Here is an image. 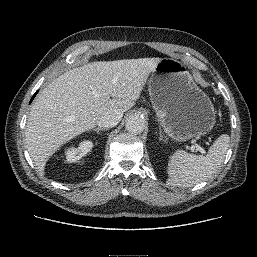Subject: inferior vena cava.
Instances as JSON below:
<instances>
[{
	"instance_id": "inferior-vena-cava-1",
	"label": "inferior vena cava",
	"mask_w": 257,
	"mask_h": 257,
	"mask_svg": "<svg viewBox=\"0 0 257 257\" xmlns=\"http://www.w3.org/2000/svg\"><path fill=\"white\" fill-rule=\"evenodd\" d=\"M122 116L123 114L119 110H109L98 117L96 124L104 128L114 127L120 122Z\"/></svg>"
}]
</instances>
